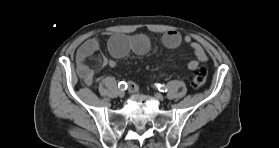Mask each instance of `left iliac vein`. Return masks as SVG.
<instances>
[{"label":"left iliac vein","instance_id":"4c4485c4","mask_svg":"<svg viewBox=\"0 0 279 148\" xmlns=\"http://www.w3.org/2000/svg\"><path fill=\"white\" fill-rule=\"evenodd\" d=\"M155 97L160 101H164V96L161 93H155Z\"/></svg>","mask_w":279,"mask_h":148}]
</instances>
